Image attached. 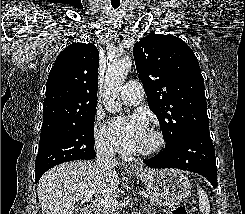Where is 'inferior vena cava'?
Listing matches in <instances>:
<instances>
[{
	"mask_svg": "<svg viewBox=\"0 0 245 214\" xmlns=\"http://www.w3.org/2000/svg\"><path fill=\"white\" fill-rule=\"evenodd\" d=\"M96 156L99 167L112 168L117 164L112 147L102 140L96 142Z\"/></svg>",
	"mask_w": 245,
	"mask_h": 214,
	"instance_id": "602c4592",
	"label": "inferior vena cava"
}]
</instances>
